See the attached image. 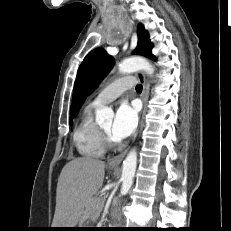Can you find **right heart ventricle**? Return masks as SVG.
Masks as SVG:
<instances>
[{
	"label": "right heart ventricle",
	"instance_id": "e07e8e85",
	"mask_svg": "<svg viewBox=\"0 0 231 231\" xmlns=\"http://www.w3.org/2000/svg\"><path fill=\"white\" fill-rule=\"evenodd\" d=\"M96 107L88 105L73 132V143L78 153L85 158H98L104 155L99 127L93 118Z\"/></svg>",
	"mask_w": 231,
	"mask_h": 231
}]
</instances>
